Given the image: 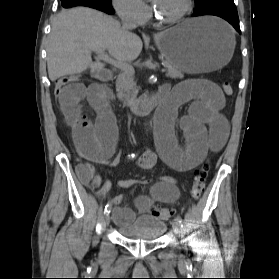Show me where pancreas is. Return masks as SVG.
Listing matches in <instances>:
<instances>
[{"instance_id": "cf45deb5", "label": "pancreas", "mask_w": 279, "mask_h": 279, "mask_svg": "<svg viewBox=\"0 0 279 279\" xmlns=\"http://www.w3.org/2000/svg\"><path fill=\"white\" fill-rule=\"evenodd\" d=\"M161 59L167 68V77L172 79H182L184 77L182 71L174 67L170 61ZM135 90L134 74L125 71L121 72L116 80L117 97L121 100L130 101L136 97Z\"/></svg>"}]
</instances>
